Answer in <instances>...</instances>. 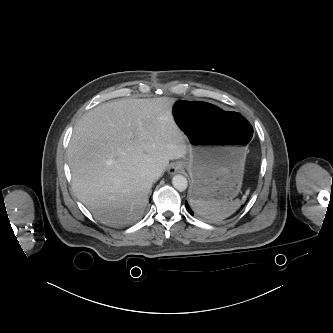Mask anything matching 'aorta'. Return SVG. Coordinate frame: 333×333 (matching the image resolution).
Instances as JSON below:
<instances>
[{
  "label": "aorta",
  "instance_id": "762f6f07",
  "mask_svg": "<svg viewBox=\"0 0 333 333\" xmlns=\"http://www.w3.org/2000/svg\"><path fill=\"white\" fill-rule=\"evenodd\" d=\"M172 184L179 191L186 190V188L188 186L187 179L183 175H179V174L175 175L172 178Z\"/></svg>",
  "mask_w": 333,
  "mask_h": 333
}]
</instances>
